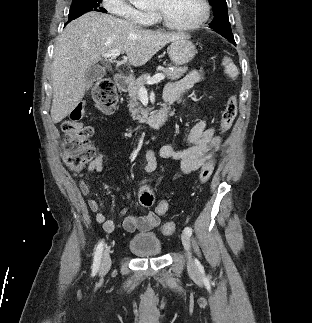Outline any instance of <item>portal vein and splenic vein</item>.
<instances>
[{
    "label": "portal vein and splenic vein",
    "mask_w": 312,
    "mask_h": 323,
    "mask_svg": "<svg viewBox=\"0 0 312 323\" xmlns=\"http://www.w3.org/2000/svg\"><path fill=\"white\" fill-rule=\"evenodd\" d=\"M120 54L121 52H119V50H113V52L103 54V58H117V56H120ZM164 78V74H157L155 78H151V80H148L147 84H157V82H161V80H164ZM139 94H147V90L146 88H144V86H141Z\"/></svg>",
    "instance_id": "obj_1"
}]
</instances>
